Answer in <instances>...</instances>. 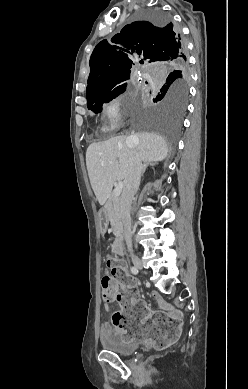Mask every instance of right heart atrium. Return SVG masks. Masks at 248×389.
<instances>
[{
    "instance_id": "obj_1",
    "label": "right heart atrium",
    "mask_w": 248,
    "mask_h": 389,
    "mask_svg": "<svg viewBox=\"0 0 248 389\" xmlns=\"http://www.w3.org/2000/svg\"><path fill=\"white\" fill-rule=\"evenodd\" d=\"M100 114L105 122V129L107 131L116 130L122 119L120 97L117 95L108 97L101 106Z\"/></svg>"
}]
</instances>
